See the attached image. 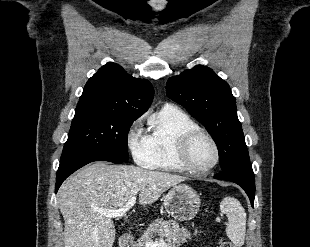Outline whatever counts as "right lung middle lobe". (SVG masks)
I'll use <instances>...</instances> for the list:
<instances>
[{"instance_id":"1","label":"right lung middle lobe","mask_w":310,"mask_h":247,"mask_svg":"<svg viewBox=\"0 0 310 247\" xmlns=\"http://www.w3.org/2000/svg\"><path fill=\"white\" fill-rule=\"evenodd\" d=\"M137 118L111 112H75L61 161L83 156L127 161V134Z\"/></svg>"}]
</instances>
